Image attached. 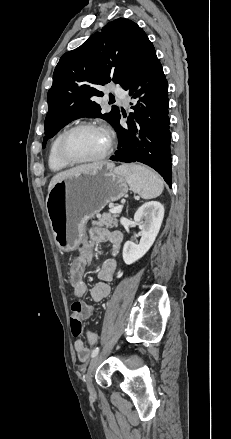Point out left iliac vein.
<instances>
[{
	"instance_id": "4c4485c4",
	"label": "left iliac vein",
	"mask_w": 231,
	"mask_h": 439,
	"mask_svg": "<svg viewBox=\"0 0 231 439\" xmlns=\"http://www.w3.org/2000/svg\"><path fill=\"white\" fill-rule=\"evenodd\" d=\"M103 354L104 353H100V354H97L95 357H93V359L91 360V362L89 364L88 370H87L85 382H86V386H87L88 392H89L91 397H94L96 395V391H95V388L93 385V375H94L96 367L98 366V364L101 361Z\"/></svg>"
}]
</instances>
